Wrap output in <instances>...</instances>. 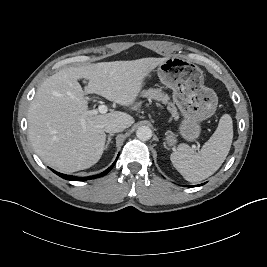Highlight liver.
<instances>
[{
    "label": "liver",
    "instance_id": "obj_1",
    "mask_svg": "<svg viewBox=\"0 0 267 267\" xmlns=\"http://www.w3.org/2000/svg\"><path fill=\"white\" fill-rule=\"evenodd\" d=\"M167 58L100 62L66 68L47 78L38 88L28 109V137L47 165L71 173L90 168L105 149L104 126L119 120L127 128L134 119L112 111L91 114L87 93H94L122 106L135 103L146 75ZM88 80L83 91L79 79Z\"/></svg>",
    "mask_w": 267,
    "mask_h": 267
}]
</instances>
